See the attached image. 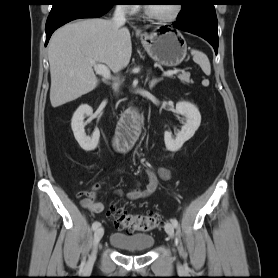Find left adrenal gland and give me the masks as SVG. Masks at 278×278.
<instances>
[{
  "instance_id": "a2214340",
  "label": "left adrenal gland",
  "mask_w": 278,
  "mask_h": 278,
  "mask_svg": "<svg viewBox=\"0 0 278 278\" xmlns=\"http://www.w3.org/2000/svg\"><path fill=\"white\" fill-rule=\"evenodd\" d=\"M148 79V77H147ZM161 81V78H153L150 82H149V88L152 89L158 82Z\"/></svg>"
}]
</instances>
